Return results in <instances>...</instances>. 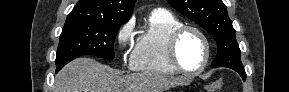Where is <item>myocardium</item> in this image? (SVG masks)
Here are the masks:
<instances>
[{
    "label": "myocardium",
    "mask_w": 289,
    "mask_h": 92,
    "mask_svg": "<svg viewBox=\"0 0 289 92\" xmlns=\"http://www.w3.org/2000/svg\"><path fill=\"white\" fill-rule=\"evenodd\" d=\"M187 32H193L197 34L201 40L203 41L204 47H205V54L204 59L201 64V66L195 70H187L185 69L178 58V45L183 37V35ZM210 42L205 35V33L200 30L199 28L192 26V25H181L177 27L169 36L168 43H167V53L168 58L172 66L180 73L186 74V75H197L204 71V69L207 67L209 59H210Z\"/></svg>",
    "instance_id": "1"
}]
</instances>
